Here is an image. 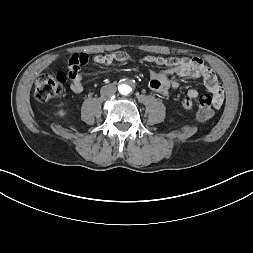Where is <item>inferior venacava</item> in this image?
Listing matches in <instances>:
<instances>
[{"mask_svg": "<svg viewBox=\"0 0 253 253\" xmlns=\"http://www.w3.org/2000/svg\"><path fill=\"white\" fill-rule=\"evenodd\" d=\"M116 86L109 84V85H105L101 88V95L102 96H106V97H111L112 95H114L116 93Z\"/></svg>", "mask_w": 253, "mask_h": 253, "instance_id": "1", "label": "inferior vena cava"}]
</instances>
